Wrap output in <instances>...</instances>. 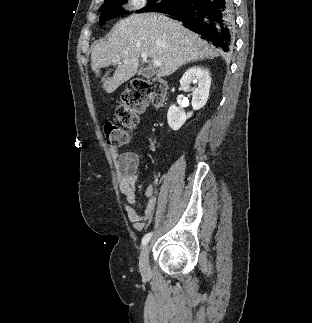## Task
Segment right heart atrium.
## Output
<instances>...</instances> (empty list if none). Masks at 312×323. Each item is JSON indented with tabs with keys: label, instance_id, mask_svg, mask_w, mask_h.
Returning <instances> with one entry per match:
<instances>
[{
	"label": "right heart atrium",
	"instance_id": "right-heart-atrium-1",
	"mask_svg": "<svg viewBox=\"0 0 312 323\" xmlns=\"http://www.w3.org/2000/svg\"><path fill=\"white\" fill-rule=\"evenodd\" d=\"M120 2H121V5H130V2H132V5H141L142 1L141 0H132V1H130V0H121ZM137 11L139 13H142L144 11V8L142 6H139L137 8Z\"/></svg>",
	"mask_w": 312,
	"mask_h": 323
}]
</instances>
